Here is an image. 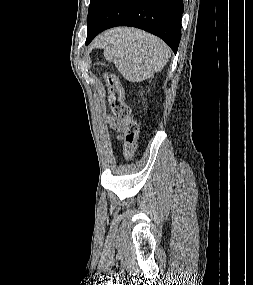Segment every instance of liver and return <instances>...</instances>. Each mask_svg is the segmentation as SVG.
<instances>
[{
  "mask_svg": "<svg viewBox=\"0 0 253 285\" xmlns=\"http://www.w3.org/2000/svg\"><path fill=\"white\" fill-rule=\"evenodd\" d=\"M113 31H117V30H113ZM113 31L106 33V35H109V34L112 33Z\"/></svg>",
  "mask_w": 253,
  "mask_h": 285,
  "instance_id": "1",
  "label": "liver"
}]
</instances>
